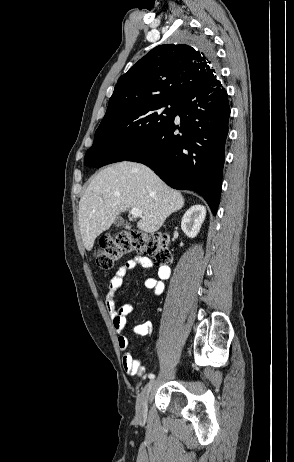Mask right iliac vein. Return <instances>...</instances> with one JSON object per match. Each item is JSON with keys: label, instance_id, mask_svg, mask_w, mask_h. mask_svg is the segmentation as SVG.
Returning <instances> with one entry per match:
<instances>
[{"label": "right iliac vein", "instance_id": "1", "mask_svg": "<svg viewBox=\"0 0 294 462\" xmlns=\"http://www.w3.org/2000/svg\"><path fill=\"white\" fill-rule=\"evenodd\" d=\"M154 383L148 382L141 393L139 394L136 401V417L138 420H144L147 416V400L148 396L152 390Z\"/></svg>", "mask_w": 294, "mask_h": 462}]
</instances>
